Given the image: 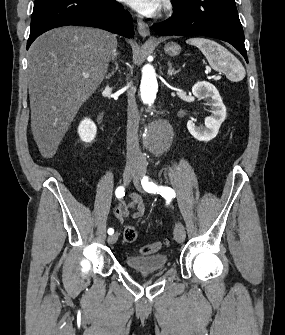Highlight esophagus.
Segmentation results:
<instances>
[{"label":"esophagus","mask_w":285,"mask_h":335,"mask_svg":"<svg viewBox=\"0 0 285 335\" xmlns=\"http://www.w3.org/2000/svg\"><path fill=\"white\" fill-rule=\"evenodd\" d=\"M137 30L142 37H148L150 35L149 26L140 18L137 19Z\"/></svg>","instance_id":"34e87169"}]
</instances>
